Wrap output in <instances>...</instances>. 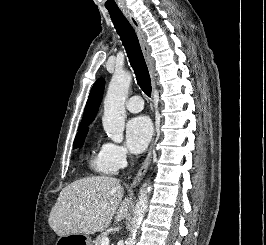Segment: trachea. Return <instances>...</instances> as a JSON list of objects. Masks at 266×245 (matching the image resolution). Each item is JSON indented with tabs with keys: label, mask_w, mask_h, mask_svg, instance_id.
I'll use <instances>...</instances> for the list:
<instances>
[{
	"label": "trachea",
	"mask_w": 266,
	"mask_h": 245,
	"mask_svg": "<svg viewBox=\"0 0 266 245\" xmlns=\"http://www.w3.org/2000/svg\"><path fill=\"white\" fill-rule=\"evenodd\" d=\"M109 13L135 72L137 83L143 92L150 96L151 79L135 30L120 11Z\"/></svg>",
	"instance_id": "trachea-1"
}]
</instances>
